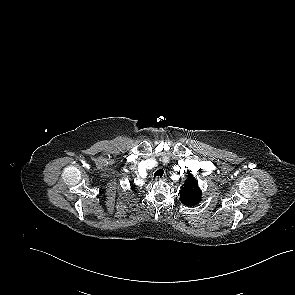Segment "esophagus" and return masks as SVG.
Listing matches in <instances>:
<instances>
[{
    "mask_svg": "<svg viewBox=\"0 0 295 295\" xmlns=\"http://www.w3.org/2000/svg\"><path fill=\"white\" fill-rule=\"evenodd\" d=\"M156 180L165 181L166 180V176L157 177Z\"/></svg>",
    "mask_w": 295,
    "mask_h": 295,
    "instance_id": "esophagus-1",
    "label": "esophagus"
}]
</instances>
